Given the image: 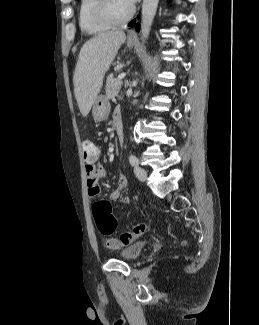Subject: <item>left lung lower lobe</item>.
I'll use <instances>...</instances> for the list:
<instances>
[{
	"mask_svg": "<svg viewBox=\"0 0 259 325\" xmlns=\"http://www.w3.org/2000/svg\"><path fill=\"white\" fill-rule=\"evenodd\" d=\"M135 22H136V21H135V20H133L132 22H130V23H129V26H131V25H134V24H135ZM135 28L138 30V28H139V25H138V24H136V25H135Z\"/></svg>",
	"mask_w": 259,
	"mask_h": 325,
	"instance_id": "left-lung-lower-lobe-1",
	"label": "left lung lower lobe"
}]
</instances>
